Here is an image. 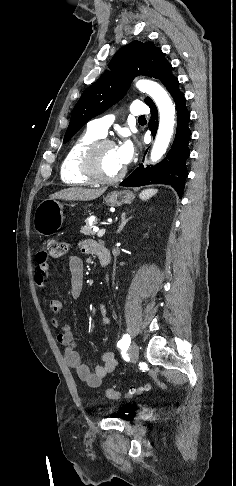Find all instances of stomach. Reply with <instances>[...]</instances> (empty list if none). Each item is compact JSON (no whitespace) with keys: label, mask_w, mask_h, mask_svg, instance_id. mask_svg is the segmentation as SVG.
Returning <instances> with one entry per match:
<instances>
[{"label":"stomach","mask_w":236,"mask_h":486,"mask_svg":"<svg viewBox=\"0 0 236 486\" xmlns=\"http://www.w3.org/2000/svg\"><path fill=\"white\" fill-rule=\"evenodd\" d=\"M134 198L131 191L123 190L111 192L104 200L108 206L117 207L130 204ZM63 220V204L56 199H46L35 210L33 226L39 235L49 236L61 228Z\"/></svg>","instance_id":"1"}]
</instances>
